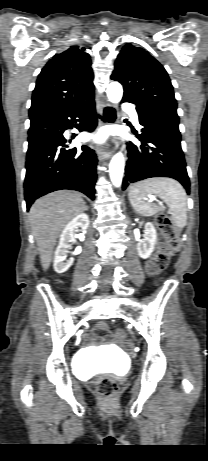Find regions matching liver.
<instances>
[{"mask_svg": "<svg viewBox=\"0 0 208 461\" xmlns=\"http://www.w3.org/2000/svg\"><path fill=\"white\" fill-rule=\"evenodd\" d=\"M84 210L82 195L68 190L50 193L32 205L29 219L44 271L51 264L60 232L66 223Z\"/></svg>", "mask_w": 208, "mask_h": 461, "instance_id": "liver-1", "label": "liver"}]
</instances>
